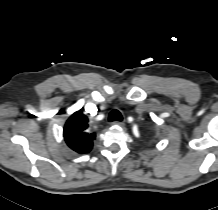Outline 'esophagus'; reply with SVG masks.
I'll return each mask as SVG.
<instances>
[{"instance_id":"obj_1","label":"esophagus","mask_w":218,"mask_h":210,"mask_svg":"<svg viewBox=\"0 0 218 210\" xmlns=\"http://www.w3.org/2000/svg\"><path fill=\"white\" fill-rule=\"evenodd\" d=\"M113 124L118 125L120 127H124L125 123L123 121H115Z\"/></svg>"}]
</instances>
